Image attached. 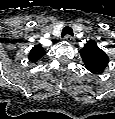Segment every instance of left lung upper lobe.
Instances as JSON below:
<instances>
[{
  "label": "left lung upper lobe",
  "mask_w": 115,
  "mask_h": 119,
  "mask_svg": "<svg viewBox=\"0 0 115 119\" xmlns=\"http://www.w3.org/2000/svg\"><path fill=\"white\" fill-rule=\"evenodd\" d=\"M85 67L92 73L103 72L109 63V57L100 49L94 40L87 41L80 50Z\"/></svg>",
  "instance_id": "1"
}]
</instances>
